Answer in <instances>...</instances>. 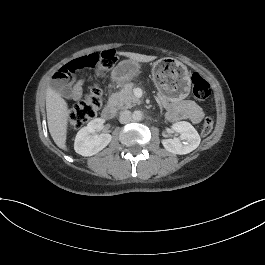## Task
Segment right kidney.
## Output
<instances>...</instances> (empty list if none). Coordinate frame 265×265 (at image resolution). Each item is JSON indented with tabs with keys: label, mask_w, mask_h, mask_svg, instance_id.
Instances as JSON below:
<instances>
[{
	"label": "right kidney",
	"mask_w": 265,
	"mask_h": 265,
	"mask_svg": "<svg viewBox=\"0 0 265 265\" xmlns=\"http://www.w3.org/2000/svg\"><path fill=\"white\" fill-rule=\"evenodd\" d=\"M104 122V119L95 118L78 131L74 142V149L78 154L82 156L95 155L110 143L112 139L110 134H96Z\"/></svg>",
	"instance_id": "right-kidney-1"
}]
</instances>
